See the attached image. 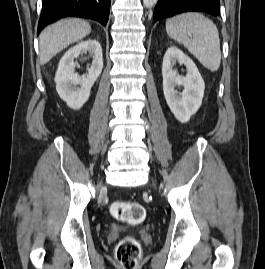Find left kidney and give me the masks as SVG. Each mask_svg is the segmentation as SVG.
I'll return each mask as SVG.
<instances>
[{
  "mask_svg": "<svg viewBox=\"0 0 265 269\" xmlns=\"http://www.w3.org/2000/svg\"><path fill=\"white\" fill-rule=\"evenodd\" d=\"M178 62L187 69L186 76H179L173 66ZM163 92L166 102L177 120L186 123L201 106L205 83L195 63L180 49H167L162 64ZM182 86L181 94L175 87Z\"/></svg>",
  "mask_w": 265,
  "mask_h": 269,
  "instance_id": "5707ae66",
  "label": "left kidney"
}]
</instances>
